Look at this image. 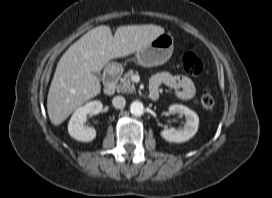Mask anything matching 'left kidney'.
Here are the masks:
<instances>
[{
  "instance_id": "1",
  "label": "left kidney",
  "mask_w": 272,
  "mask_h": 198,
  "mask_svg": "<svg viewBox=\"0 0 272 198\" xmlns=\"http://www.w3.org/2000/svg\"><path fill=\"white\" fill-rule=\"evenodd\" d=\"M169 112L185 116L186 123L181 129L170 128L162 130L160 134L166 141L182 143L188 141L196 134L198 130L199 117L194 111L190 110L186 106L173 104L169 107Z\"/></svg>"
}]
</instances>
